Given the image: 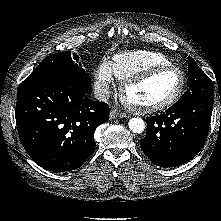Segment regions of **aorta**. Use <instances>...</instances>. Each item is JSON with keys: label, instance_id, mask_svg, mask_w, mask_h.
<instances>
[{"label": "aorta", "instance_id": "obj_1", "mask_svg": "<svg viewBox=\"0 0 221 221\" xmlns=\"http://www.w3.org/2000/svg\"><path fill=\"white\" fill-rule=\"evenodd\" d=\"M129 129L133 133L140 134L145 130V123L140 117H133L128 122Z\"/></svg>", "mask_w": 221, "mask_h": 221}]
</instances>
